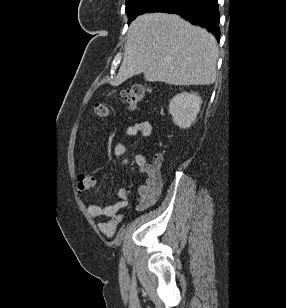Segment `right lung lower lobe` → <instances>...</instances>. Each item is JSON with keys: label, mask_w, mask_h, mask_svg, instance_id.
Masks as SVG:
<instances>
[{"label": "right lung lower lobe", "mask_w": 286, "mask_h": 308, "mask_svg": "<svg viewBox=\"0 0 286 308\" xmlns=\"http://www.w3.org/2000/svg\"><path fill=\"white\" fill-rule=\"evenodd\" d=\"M153 11L178 14L189 22L208 29L219 42L218 0H168Z\"/></svg>", "instance_id": "1"}]
</instances>
